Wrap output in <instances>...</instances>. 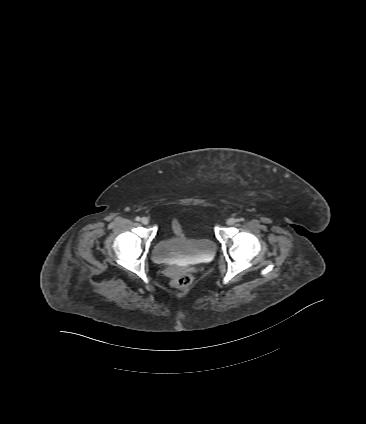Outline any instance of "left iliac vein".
Here are the masks:
<instances>
[{
	"label": "left iliac vein",
	"mask_w": 366,
	"mask_h": 424,
	"mask_svg": "<svg viewBox=\"0 0 366 424\" xmlns=\"http://www.w3.org/2000/svg\"><path fill=\"white\" fill-rule=\"evenodd\" d=\"M236 223V219L235 218H229L228 220H227V224L228 225H234Z\"/></svg>",
	"instance_id": "4c4485c4"
}]
</instances>
